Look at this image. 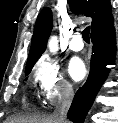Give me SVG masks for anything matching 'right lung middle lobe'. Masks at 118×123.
<instances>
[{
  "mask_svg": "<svg viewBox=\"0 0 118 123\" xmlns=\"http://www.w3.org/2000/svg\"><path fill=\"white\" fill-rule=\"evenodd\" d=\"M30 72H31V68L26 70L25 75H28Z\"/></svg>",
  "mask_w": 118,
  "mask_h": 123,
  "instance_id": "obj_1",
  "label": "right lung middle lobe"
}]
</instances>
